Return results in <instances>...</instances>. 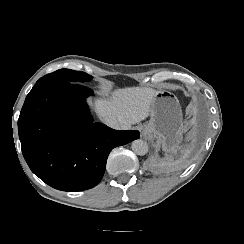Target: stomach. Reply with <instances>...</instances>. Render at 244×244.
I'll list each match as a JSON object with an SVG mask.
<instances>
[{
    "instance_id": "1",
    "label": "stomach",
    "mask_w": 244,
    "mask_h": 244,
    "mask_svg": "<svg viewBox=\"0 0 244 244\" xmlns=\"http://www.w3.org/2000/svg\"><path fill=\"white\" fill-rule=\"evenodd\" d=\"M143 133L156 139L166 154L181 148L184 126L178 98L169 90H156L150 106V120L143 126Z\"/></svg>"
}]
</instances>
